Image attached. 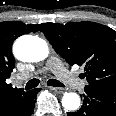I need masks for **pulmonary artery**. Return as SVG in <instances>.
Returning a JSON list of instances; mask_svg holds the SVG:
<instances>
[{"label": "pulmonary artery", "instance_id": "1", "mask_svg": "<svg viewBox=\"0 0 116 116\" xmlns=\"http://www.w3.org/2000/svg\"><path fill=\"white\" fill-rule=\"evenodd\" d=\"M51 70L61 81H63L65 84L77 88V89H84L86 86V82L79 79L75 73L67 70L63 63L57 59L56 57H51L46 66L43 68L42 71ZM26 76L22 74H18L15 77L16 81H22L25 79Z\"/></svg>", "mask_w": 116, "mask_h": 116}]
</instances>
